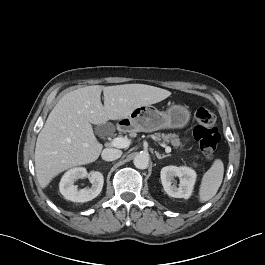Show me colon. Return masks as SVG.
Instances as JSON below:
<instances>
[{"label":"colon","instance_id":"obj_1","mask_svg":"<svg viewBox=\"0 0 265 265\" xmlns=\"http://www.w3.org/2000/svg\"><path fill=\"white\" fill-rule=\"evenodd\" d=\"M195 119L197 124L194 128V137L203 155L212 159L221 139L216 115L208 108H199L195 113Z\"/></svg>","mask_w":265,"mask_h":265}]
</instances>
